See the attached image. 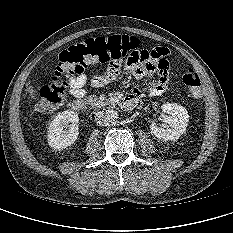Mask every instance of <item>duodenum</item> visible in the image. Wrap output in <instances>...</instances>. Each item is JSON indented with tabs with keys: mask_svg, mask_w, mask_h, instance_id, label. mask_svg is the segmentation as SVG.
Masks as SVG:
<instances>
[{
	"mask_svg": "<svg viewBox=\"0 0 233 233\" xmlns=\"http://www.w3.org/2000/svg\"><path fill=\"white\" fill-rule=\"evenodd\" d=\"M139 101V98L135 95H128L120 101V106L125 110L133 109ZM71 107L75 111H83L85 109V103L81 99L73 100Z\"/></svg>",
	"mask_w": 233,
	"mask_h": 233,
	"instance_id": "1",
	"label": "duodenum"
}]
</instances>
